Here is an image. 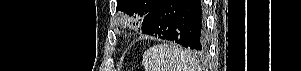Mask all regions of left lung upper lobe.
I'll return each mask as SVG.
<instances>
[{
	"instance_id": "obj_1",
	"label": "left lung upper lobe",
	"mask_w": 301,
	"mask_h": 71,
	"mask_svg": "<svg viewBox=\"0 0 301 71\" xmlns=\"http://www.w3.org/2000/svg\"><path fill=\"white\" fill-rule=\"evenodd\" d=\"M159 0H117L116 10L129 16L145 18Z\"/></svg>"
}]
</instances>
